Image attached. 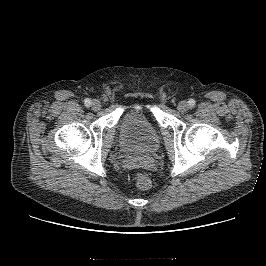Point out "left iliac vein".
<instances>
[{
  "label": "left iliac vein",
  "mask_w": 266,
  "mask_h": 266,
  "mask_svg": "<svg viewBox=\"0 0 266 266\" xmlns=\"http://www.w3.org/2000/svg\"><path fill=\"white\" fill-rule=\"evenodd\" d=\"M190 108L189 104L186 101H181L177 105V109L179 112H186Z\"/></svg>",
  "instance_id": "1"
}]
</instances>
